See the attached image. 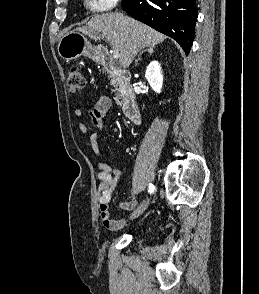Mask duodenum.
I'll list each match as a JSON object with an SVG mask.
<instances>
[{"label":"duodenum","mask_w":259,"mask_h":294,"mask_svg":"<svg viewBox=\"0 0 259 294\" xmlns=\"http://www.w3.org/2000/svg\"><path fill=\"white\" fill-rule=\"evenodd\" d=\"M98 60L105 70L115 77L121 88L120 100L122 103L123 114L132 123L136 125L140 124L141 117L136 101V95L129 85L131 79L130 72L117 68L104 51H99Z\"/></svg>","instance_id":"duodenum-1"}]
</instances>
